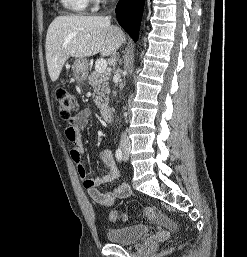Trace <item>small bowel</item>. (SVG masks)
<instances>
[{
	"mask_svg": "<svg viewBox=\"0 0 247 257\" xmlns=\"http://www.w3.org/2000/svg\"><path fill=\"white\" fill-rule=\"evenodd\" d=\"M90 116L91 111L89 109H84L73 116L65 128V135L73 144V147L70 150V157L76 165L77 173L82 180L84 188L87 190L90 197L99 205L110 206L116 199H124L130 196L131 189L126 183H122L109 192H103L99 189L101 185L112 182L119 176V171L115 164L113 153L110 149H103L100 152L106 172L93 179L87 176L85 166L82 162L84 146L81 138V130L88 124ZM155 220L172 227V222L162 213H157L155 211Z\"/></svg>",
	"mask_w": 247,
	"mask_h": 257,
	"instance_id": "small-bowel-1",
	"label": "small bowel"
}]
</instances>
